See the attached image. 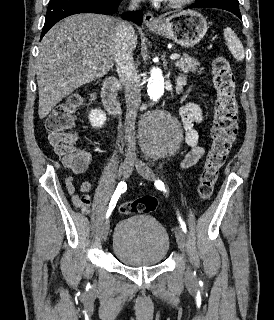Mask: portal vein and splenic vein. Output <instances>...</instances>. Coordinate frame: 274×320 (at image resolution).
Masks as SVG:
<instances>
[{"mask_svg":"<svg viewBox=\"0 0 274 320\" xmlns=\"http://www.w3.org/2000/svg\"><path fill=\"white\" fill-rule=\"evenodd\" d=\"M171 60H177V58H180L179 54H172V56H170Z\"/></svg>","mask_w":274,"mask_h":320,"instance_id":"portal-vein-and-splenic-vein-1","label":"portal vein and splenic vein"}]
</instances>
